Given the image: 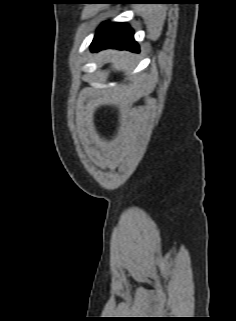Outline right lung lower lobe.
<instances>
[{"label":"right lung lower lobe","mask_w":236,"mask_h":321,"mask_svg":"<svg viewBox=\"0 0 236 321\" xmlns=\"http://www.w3.org/2000/svg\"><path fill=\"white\" fill-rule=\"evenodd\" d=\"M90 48L92 51L117 48L139 52V46L133 38V30L126 23L102 24Z\"/></svg>","instance_id":"1"}]
</instances>
